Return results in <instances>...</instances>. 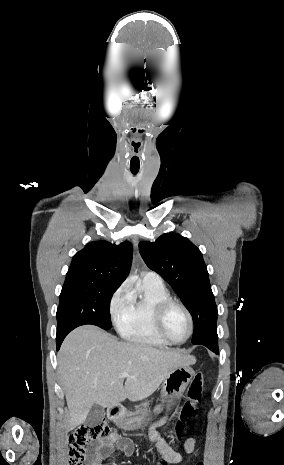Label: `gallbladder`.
<instances>
[{
    "mask_svg": "<svg viewBox=\"0 0 284 465\" xmlns=\"http://www.w3.org/2000/svg\"><path fill=\"white\" fill-rule=\"evenodd\" d=\"M103 419H105V411L99 405H93L92 409H90V413H88V417L85 421V425L88 427H97L102 423Z\"/></svg>",
    "mask_w": 284,
    "mask_h": 465,
    "instance_id": "obj_1",
    "label": "gallbladder"
}]
</instances>
